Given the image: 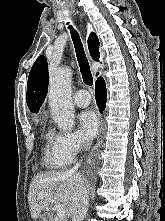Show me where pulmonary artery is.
Here are the masks:
<instances>
[{
  "label": "pulmonary artery",
  "instance_id": "pulmonary-artery-1",
  "mask_svg": "<svg viewBox=\"0 0 165 221\" xmlns=\"http://www.w3.org/2000/svg\"><path fill=\"white\" fill-rule=\"evenodd\" d=\"M74 103L79 107H86L91 102V97L86 90H78L73 95Z\"/></svg>",
  "mask_w": 165,
  "mask_h": 221
}]
</instances>
